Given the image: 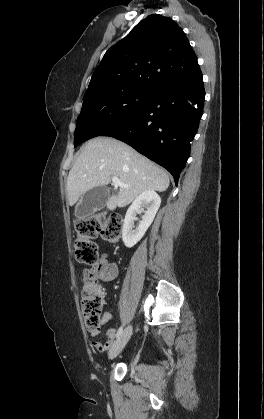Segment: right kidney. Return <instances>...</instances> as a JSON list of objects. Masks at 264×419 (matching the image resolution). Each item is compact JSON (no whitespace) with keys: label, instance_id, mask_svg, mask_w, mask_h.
<instances>
[{"label":"right kidney","instance_id":"obj_1","mask_svg":"<svg viewBox=\"0 0 264 419\" xmlns=\"http://www.w3.org/2000/svg\"><path fill=\"white\" fill-rule=\"evenodd\" d=\"M161 198L154 190H147L142 192L128 208L123 229L122 239L126 247L131 248L141 240L145 232L152 224L155 215L160 207ZM143 208H146L144 211ZM139 211H144L142 220L136 230H133L136 214Z\"/></svg>","mask_w":264,"mask_h":419}]
</instances>
